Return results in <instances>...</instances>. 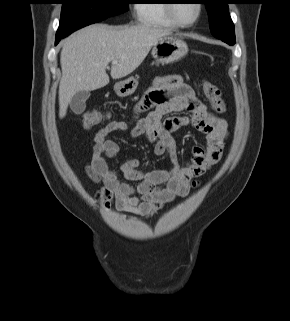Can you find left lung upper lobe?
<instances>
[{"mask_svg": "<svg viewBox=\"0 0 290 321\" xmlns=\"http://www.w3.org/2000/svg\"><path fill=\"white\" fill-rule=\"evenodd\" d=\"M209 17L210 29L216 38H232L234 24L229 15V0H203Z\"/></svg>", "mask_w": 290, "mask_h": 321, "instance_id": "obj_1", "label": "left lung upper lobe"}]
</instances>
